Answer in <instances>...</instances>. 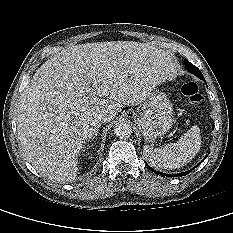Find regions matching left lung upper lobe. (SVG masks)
<instances>
[{
	"instance_id": "5c2ea615",
	"label": "left lung upper lobe",
	"mask_w": 233,
	"mask_h": 233,
	"mask_svg": "<svg viewBox=\"0 0 233 233\" xmlns=\"http://www.w3.org/2000/svg\"><path fill=\"white\" fill-rule=\"evenodd\" d=\"M184 64H185L186 69L190 73L196 75L200 79L204 78L203 75H202V73L200 72V70L195 65H193L192 63H190L188 60H184Z\"/></svg>"
}]
</instances>
